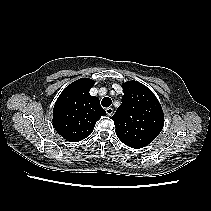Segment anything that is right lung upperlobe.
<instances>
[{"instance_id": "1", "label": "right lung upper lobe", "mask_w": 211, "mask_h": 211, "mask_svg": "<svg viewBox=\"0 0 211 211\" xmlns=\"http://www.w3.org/2000/svg\"><path fill=\"white\" fill-rule=\"evenodd\" d=\"M93 85V80L81 78L67 86L55 103L53 127L69 142L88 137L96 121L106 115L99 99L89 93Z\"/></svg>"}]
</instances>
